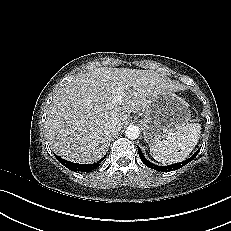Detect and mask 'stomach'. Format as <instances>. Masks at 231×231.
Wrapping results in <instances>:
<instances>
[{"label": "stomach", "mask_w": 231, "mask_h": 231, "mask_svg": "<svg viewBox=\"0 0 231 231\" xmlns=\"http://www.w3.org/2000/svg\"><path fill=\"white\" fill-rule=\"evenodd\" d=\"M191 121L188 103L173 91L155 96L145 110L143 135L147 142L166 138Z\"/></svg>", "instance_id": "0dacf381"}]
</instances>
